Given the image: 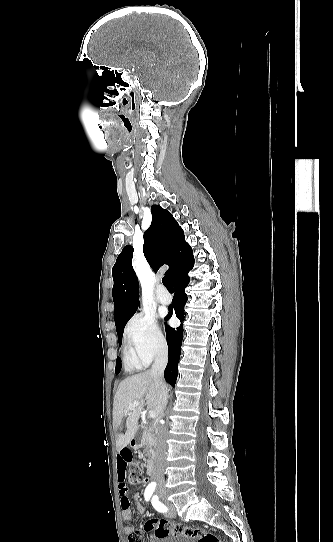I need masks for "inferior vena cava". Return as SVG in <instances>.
<instances>
[{"instance_id": "1", "label": "inferior vena cava", "mask_w": 333, "mask_h": 542, "mask_svg": "<svg viewBox=\"0 0 333 542\" xmlns=\"http://www.w3.org/2000/svg\"><path fill=\"white\" fill-rule=\"evenodd\" d=\"M167 362V348H161V350H158L155 356L154 364H152V368L150 370V374L151 376H154L155 382H157L158 386V400L156 408L158 414V422L156 424L157 446L155 452L154 466L151 474V480H153V482H156L158 492L160 488H165L164 468L167 450L166 428L164 424H161L160 420H162L163 418V412L168 402V390L164 382V370L167 366Z\"/></svg>"}]
</instances>
